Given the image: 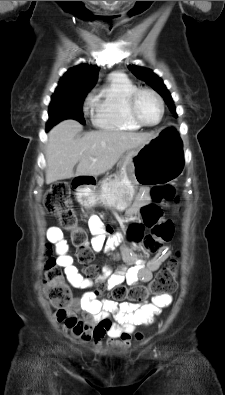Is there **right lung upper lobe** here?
<instances>
[{
    "label": "right lung upper lobe",
    "instance_id": "obj_1",
    "mask_svg": "<svg viewBox=\"0 0 225 395\" xmlns=\"http://www.w3.org/2000/svg\"><path fill=\"white\" fill-rule=\"evenodd\" d=\"M98 68L81 64L69 69L60 79L57 90H90L97 82Z\"/></svg>",
    "mask_w": 225,
    "mask_h": 395
}]
</instances>
